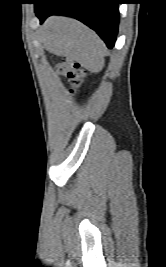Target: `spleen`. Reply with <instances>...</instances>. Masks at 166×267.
<instances>
[{
  "label": "spleen",
  "instance_id": "obj_1",
  "mask_svg": "<svg viewBox=\"0 0 166 267\" xmlns=\"http://www.w3.org/2000/svg\"><path fill=\"white\" fill-rule=\"evenodd\" d=\"M43 42L57 55L78 61L90 72L104 67L105 45L88 27L67 17H53L44 26Z\"/></svg>",
  "mask_w": 166,
  "mask_h": 267
}]
</instances>
